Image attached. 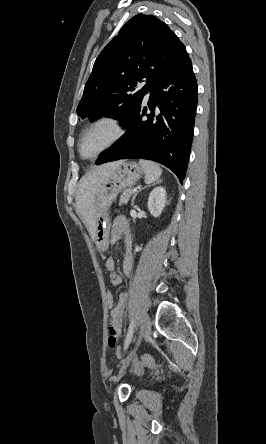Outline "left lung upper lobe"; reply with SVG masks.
<instances>
[{"mask_svg":"<svg viewBox=\"0 0 266 444\" xmlns=\"http://www.w3.org/2000/svg\"><path fill=\"white\" fill-rule=\"evenodd\" d=\"M187 54L167 24L138 14L120 29L97 57L77 107L81 118L103 115L126 123L150 88ZM146 85L137 89V82Z\"/></svg>","mask_w":266,"mask_h":444,"instance_id":"5c2ea615","label":"left lung upper lobe"}]
</instances>
